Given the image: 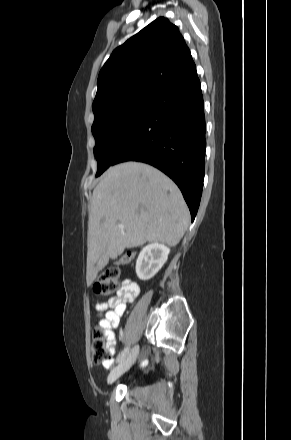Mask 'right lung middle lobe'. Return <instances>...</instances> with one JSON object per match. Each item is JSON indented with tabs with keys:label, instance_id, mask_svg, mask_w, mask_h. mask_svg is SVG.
<instances>
[{
	"label": "right lung middle lobe",
	"instance_id": "1",
	"mask_svg": "<svg viewBox=\"0 0 291 440\" xmlns=\"http://www.w3.org/2000/svg\"><path fill=\"white\" fill-rule=\"evenodd\" d=\"M155 97L139 96L104 104L93 109L92 134L94 155L98 163L96 177L109 166L120 148L141 125Z\"/></svg>",
	"mask_w": 291,
	"mask_h": 440
}]
</instances>
